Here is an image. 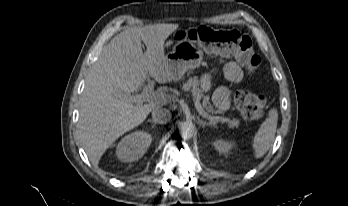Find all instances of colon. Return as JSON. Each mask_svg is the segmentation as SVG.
I'll list each match as a JSON object with an SVG mask.
<instances>
[{"instance_id":"obj_1","label":"colon","mask_w":348,"mask_h":206,"mask_svg":"<svg viewBox=\"0 0 348 206\" xmlns=\"http://www.w3.org/2000/svg\"><path fill=\"white\" fill-rule=\"evenodd\" d=\"M181 36L203 43L216 54L232 56L252 71L260 65L261 59L253 52L251 39L238 31L199 26L182 31ZM235 105L244 118L258 120L264 113L266 99L262 95L240 90L235 95Z\"/></svg>"}]
</instances>
